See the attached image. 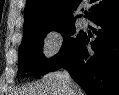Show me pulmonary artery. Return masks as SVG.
<instances>
[{"mask_svg":"<svg viewBox=\"0 0 119 95\" xmlns=\"http://www.w3.org/2000/svg\"><path fill=\"white\" fill-rule=\"evenodd\" d=\"M86 24H87V21L85 19H81V25L86 26Z\"/></svg>","mask_w":119,"mask_h":95,"instance_id":"obj_1","label":"pulmonary artery"}]
</instances>
